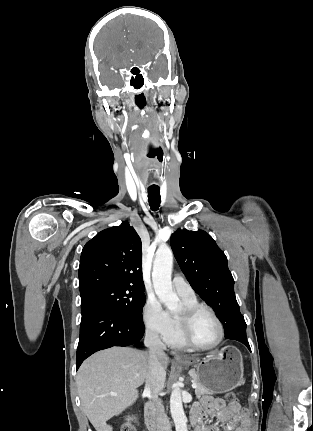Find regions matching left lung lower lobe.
<instances>
[{"label": "left lung lower lobe", "instance_id": "1", "mask_svg": "<svg viewBox=\"0 0 313 431\" xmlns=\"http://www.w3.org/2000/svg\"><path fill=\"white\" fill-rule=\"evenodd\" d=\"M226 339L237 340V341L243 343L244 345H246L248 349H250L249 343L246 339V336H244V335H235V336H232V337H229Z\"/></svg>", "mask_w": 313, "mask_h": 431}]
</instances>
